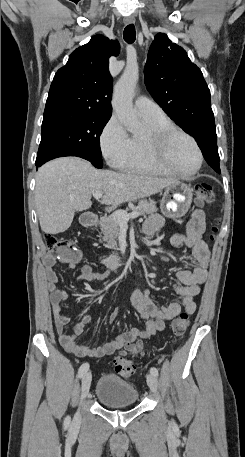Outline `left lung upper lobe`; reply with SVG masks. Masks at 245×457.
Returning <instances> with one entry per match:
<instances>
[{
  "label": "left lung upper lobe",
  "mask_w": 245,
  "mask_h": 457,
  "mask_svg": "<svg viewBox=\"0 0 245 457\" xmlns=\"http://www.w3.org/2000/svg\"><path fill=\"white\" fill-rule=\"evenodd\" d=\"M144 73L154 100L185 132L196 139L215 128L210 91L202 72L166 34L155 36Z\"/></svg>",
  "instance_id": "5c2ea615"
}]
</instances>
